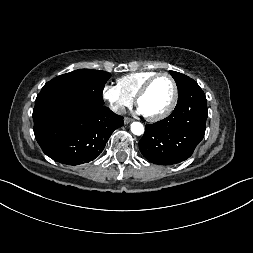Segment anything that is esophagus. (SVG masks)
<instances>
[{"mask_svg":"<svg viewBox=\"0 0 253 253\" xmlns=\"http://www.w3.org/2000/svg\"><path fill=\"white\" fill-rule=\"evenodd\" d=\"M132 121H133L132 118H129V117H125V118H124V123H125V124H129V123L132 122Z\"/></svg>","mask_w":253,"mask_h":253,"instance_id":"obj_1","label":"esophagus"}]
</instances>
